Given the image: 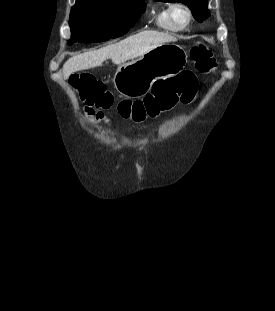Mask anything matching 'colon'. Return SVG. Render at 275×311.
Masks as SVG:
<instances>
[{
    "label": "colon",
    "mask_w": 275,
    "mask_h": 311,
    "mask_svg": "<svg viewBox=\"0 0 275 311\" xmlns=\"http://www.w3.org/2000/svg\"><path fill=\"white\" fill-rule=\"evenodd\" d=\"M191 58L196 69L209 73L217 63L213 52L204 44H197L191 49ZM71 84L79 90L80 100L89 107L108 109L113 105V97L102 82L96 81L90 74L80 73L70 77ZM197 90V78L191 72H182L172 78L158 81L151 93L142 100H122L117 107L127 111L128 117L139 121L149 117L154 120L161 112L172 108L177 103H190Z\"/></svg>",
    "instance_id": "colon-1"
}]
</instances>
